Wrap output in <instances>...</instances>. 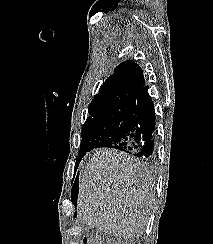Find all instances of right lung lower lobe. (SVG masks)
<instances>
[{
  "instance_id": "1",
  "label": "right lung lower lobe",
  "mask_w": 213,
  "mask_h": 244,
  "mask_svg": "<svg viewBox=\"0 0 213 244\" xmlns=\"http://www.w3.org/2000/svg\"><path fill=\"white\" fill-rule=\"evenodd\" d=\"M148 88V86H145L136 96L130 115L121 122L117 132L108 139L96 144L94 148H115L136 157H152L155 144L154 131L156 118ZM85 154L86 152L78 155L77 164ZM77 187L78 184L75 182L72 189V200L76 199L78 193Z\"/></svg>"
}]
</instances>
